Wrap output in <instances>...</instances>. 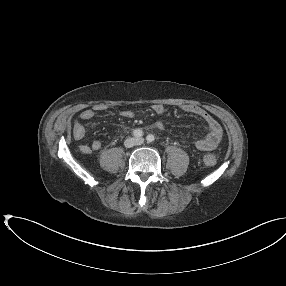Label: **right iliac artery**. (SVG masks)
I'll return each mask as SVG.
<instances>
[{
    "instance_id": "right-iliac-artery-1",
    "label": "right iliac artery",
    "mask_w": 286,
    "mask_h": 286,
    "mask_svg": "<svg viewBox=\"0 0 286 286\" xmlns=\"http://www.w3.org/2000/svg\"><path fill=\"white\" fill-rule=\"evenodd\" d=\"M133 135L137 138L142 137L143 136V131L141 129H135L133 131Z\"/></svg>"
}]
</instances>
